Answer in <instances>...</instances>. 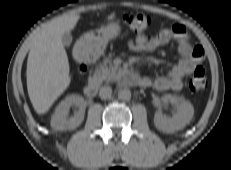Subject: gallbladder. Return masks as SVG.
Returning a JSON list of instances; mask_svg holds the SVG:
<instances>
[{
	"instance_id": "1",
	"label": "gallbladder",
	"mask_w": 231,
	"mask_h": 170,
	"mask_svg": "<svg viewBox=\"0 0 231 170\" xmlns=\"http://www.w3.org/2000/svg\"><path fill=\"white\" fill-rule=\"evenodd\" d=\"M72 43V36L70 33H64L62 36V44L65 47H69Z\"/></svg>"
}]
</instances>
